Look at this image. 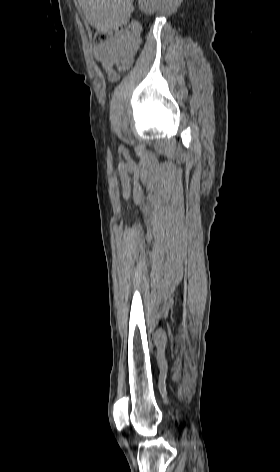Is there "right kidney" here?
<instances>
[{
	"instance_id": "ca27d5eb",
	"label": "right kidney",
	"mask_w": 280,
	"mask_h": 472,
	"mask_svg": "<svg viewBox=\"0 0 280 472\" xmlns=\"http://www.w3.org/2000/svg\"><path fill=\"white\" fill-rule=\"evenodd\" d=\"M159 0H139V8L144 13H151L157 6Z\"/></svg>"
}]
</instances>
